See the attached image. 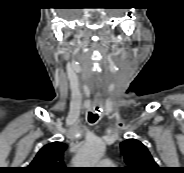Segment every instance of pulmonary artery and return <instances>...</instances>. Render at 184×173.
<instances>
[{
	"mask_svg": "<svg viewBox=\"0 0 184 173\" xmlns=\"http://www.w3.org/2000/svg\"><path fill=\"white\" fill-rule=\"evenodd\" d=\"M100 164L102 166H111L113 164V162L111 160L105 159V160L101 161Z\"/></svg>",
	"mask_w": 184,
	"mask_h": 173,
	"instance_id": "e3ab8cb5",
	"label": "pulmonary artery"
}]
</instances>
